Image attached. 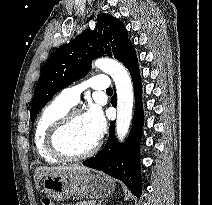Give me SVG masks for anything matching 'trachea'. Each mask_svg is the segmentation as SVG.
Listing matches in <instances>:
<instances>
[{"label":"trachea","instance_id":"obj_1","mask_svg":"<svg viewBox=\"0 0 212 205\" xmlns=\"http://www.w3.org/2000/svg\"><path fill=\"white\" fill-rule=\"evenodd\" d=\"M106 92H107V93H113V90H112V88H108V89L106 90Z\"/></svg>","mask_w":212,"mask_h":205}]
</instances>
